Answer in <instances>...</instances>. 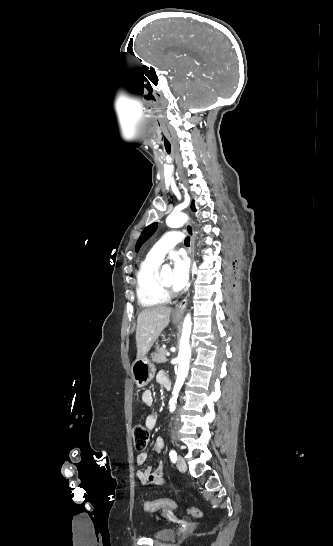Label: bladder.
I'll return each mask as SVG.
<instances>
[{"label":"bladder","instance_id":"bladder-1","mask_svg":"<svg viewBox=\"0 0 333 546\" xmlns=\"http://www.w3.org/2000/svg\"><path fill=\"white\" fill-rule=\"evenodd\" d=\"M175 536V531L172 528H163L154 533L153 537L157 540L167 541Z\"/></svg>","mask_w":333,"mask_h":546}]
</instances>
